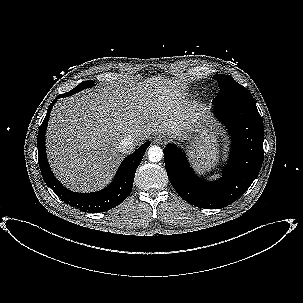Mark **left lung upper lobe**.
Segmentation results:
<instances>
[{
    "label": "left lung upper lobe",
    "mask_w": 303,
    "mask_h": 303,
    "mask_svg": "<svg viewBox=\"0 0 303 303\" xmlns=\"http://www.w3.org/2000/svg\"><path fill=\"white\" fill-rule=\"evenodd\" d=\"M214 78L218 82L220 91L213 100V104L222 102H255L251 93L232 77L224 74H216Z\"/></svg>",
    "instance_id": "5c2ea615"
}]
</instances>
